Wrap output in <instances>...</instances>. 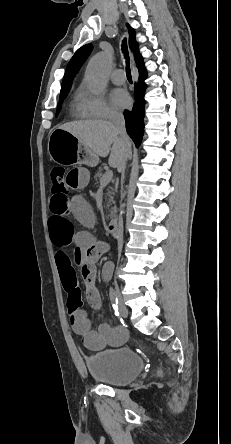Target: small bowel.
<instances>
[{"label":"small bowel","instance_id":"c3829d8e","mask_svg":"<svg viewBox=\"0 0 231 444\" xmlns=\"http://www.w3.org/2000/svg\"><path fill=\"white\" fill-rule=\"evenodd\" d=\"M90 172L85 167L71 169L66 176L69 190H80L88 185ZM51 216L48 221L52 243L57 247L55 255L60 278L68 295L67 307L73 331L82 338L86 348L102 350L107 346H120L128 338V332L122 327H110L101 324L97 329L92 328L91 321L83 306L80 289L77 284L74 264L80 267L81 275L86 284L87 301L95 308L101 306L100 293L95 286V264L105 253V244L97 242L88 231H75L69 215L80 222L91 225L94 214L90 204L79 194L71 198H51ZM72 247L71 253L69 247ZM111 264H105L102 274L109 278Z\"/></svg>","mask_w":231,"mask_h":444}]
</instances>
